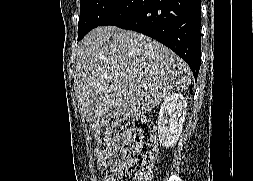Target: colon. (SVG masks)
Returning a JSON list of instances; mask_svg holds the SVG:
<instances>
[{
	"mask_svg": "<svg viewBox=\"0 0 253 181\" xmlns=\"http://www.w3.org/2000/svg\"><path fill=\"white\" fill-rule=\"evenodd\" d=\"M97 138L106 148L124 141L123 158L106 181H148L157 155L155 127L144 117L113 118L97 128Z\"/></svg>",
	"mask_w": 253,
	"mask_h": 181,
	"instance_id": "obj_1",
	"label": "colon"
}]
</instances>
